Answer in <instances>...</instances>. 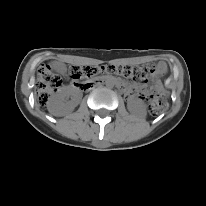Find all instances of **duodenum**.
<instances>
[{"label": "duodenum", "mask_w": 206, "mask_h": 206, "mask_svg": "<svg viewBox=\"0 0 206 206\" xmlns=\"http://www.w3.org/2000/svg\"><path fill=\"white\" fill-rule=\"evenodd\" d=\"M111 84L113 83L115 86H123V83L118 80L117 78L112 79L111 77L103 76L100 79L95 80L92 83H87L84 85L85 89H90L91 87L98 85V84Z\"/></svg>", "instance_id": "duodenum-1"}]
</instances>
